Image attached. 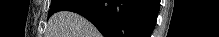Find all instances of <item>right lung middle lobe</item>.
<instances>
[{"label": "right lung middle lobe", "instance_id": "dd1d6c3e", "mask_svg": "<svg viewBox=\"0 0 219 37\" xmlns=\"http://www.w3.org/2000/svg\"><path fill=\"white\" fill-rule=\"evenodd\" d=\"M66 2H68V1H65V0H52L48 17H50L55 12H58L59 9L61 8V6L63 4H65Z\"/></svg>", "mask_w": 219, "mask_h": 37}]
</instances>
